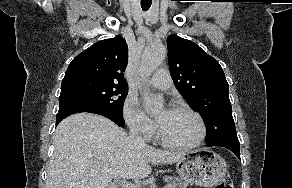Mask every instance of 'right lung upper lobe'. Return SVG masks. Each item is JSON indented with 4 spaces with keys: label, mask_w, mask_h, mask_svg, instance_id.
Segmentation results:
<instances>
[{
    "label": "right lung upper lobe",
    "mask_w": 292,
    "mask_h": 188,
    "mask_svg": "<svg viewBox=\"0 0 292 188\" xmlns=\"http://www.w3.org/2000/svg\"><path fill=\"white\" fill-rule=\"evenodd\" d=\"M127 60L128 46L122 36L101 40L71 61L63 80L93 78L127 85L123 74Z\"/></svg>",
    "instance_id": "1"
}]
</instances>
